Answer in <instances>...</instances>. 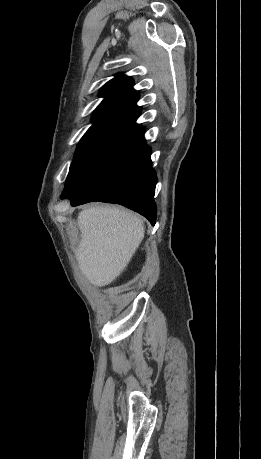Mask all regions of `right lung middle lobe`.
<instances>
[{
	"mask_svg": "<svg viewBox=\"0 0 261 459\" xmlns=\"http://www.w3.org/2000/svg\"><path fill=\"white\" fill-rule=\"evenodd\" d=\"M140 126L111 127L83 136L70 166L62 199L83 196L144 143Z\"/></svg>",
	"mask_w": 261,
	"mask_h": 459,
	"instance_id": "obj_1",
	"label": "right lung middle lobe"
}]
</instances>
